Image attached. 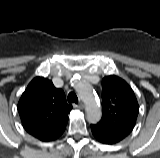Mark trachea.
<instances>
[{
  "instance_id": "1",
  "label": "trachea",
  "mask_w": 160,
  "mask_h": 158,
  "mask_svg": "<svg viewBox=\"0 0 160 158\" xmlns=\"http://www.w3.org/2000/svg\"><path fill=\"white\" fill-rule=\"evenodd\" d=\"M67 99H68V102H73V103H78V97H77V95L75 94V93H73V92H70L69 94H68V97H67Z\"/></svg>"
}]
</instances>
